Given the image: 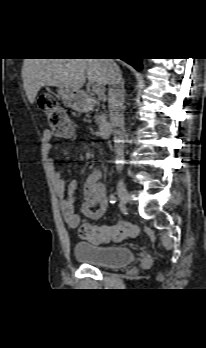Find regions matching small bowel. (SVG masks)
I'll return each instance as SVG.
<instances>
[{"mask_svg": "<svg viewBox=\"0 0 206 348\" xmlns=\"http://www.w3.org/2000/svg\"><path fill=\"white\" fill-rule=\"evenodd\" d=\"M42 139L54 187L61 199L60 209L66 224L75 229L87 224L89 220L100 219L109 209L110 204L99 173L93 172L86 178L83 184V201L79 206V212H76L78 184L73 181L66 186L62 174L55 169L53 159L50 156L52 151L50 132L44 131Z\"/></svg>", "mask_w": 206, "mask_h": 348, "instance_id": "1", "label": "small bowel"}]
</instances>
